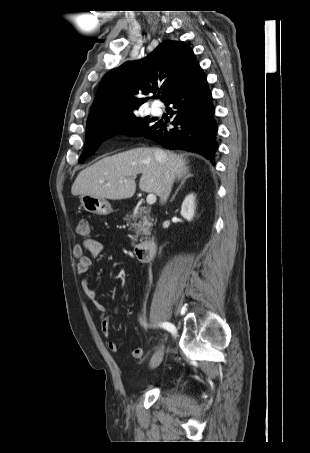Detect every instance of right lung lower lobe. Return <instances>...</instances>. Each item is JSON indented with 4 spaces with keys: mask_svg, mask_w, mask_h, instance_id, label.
I'll return each instance as SVG.
<instances>
[{
    "mask_svg": "<svg viewBox=\"0 0 310 453\" xmlns=\"http://www.w3.org/2000/svg\"><path fill=\"white\" fill-rule=\"evenodd\" d=\"M172 104L173 129L163 122L153 125L145 137L168 149H183L205 156L214 164L217 125L214 120L212 95L206 77L199 67L192 77L166 102Z\"/></svg>",
    "mask_w": 310,
    "mask_h": 453,
    "instance_id": "98d812e1",
    "label": "right lung lower lobe"
}]
</instances>
